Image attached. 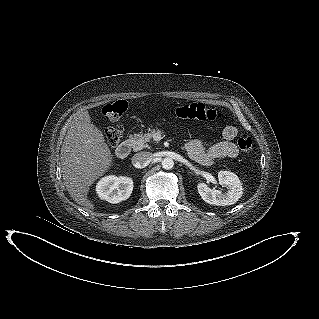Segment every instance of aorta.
<instances>
[{
    "instance_id": "obj_1",
    "label": "aorta",
    "mask_w": 319,
    "mask_h": 319,
    "mask_svg": "<svg viewBox=\"0 0 319 319\" xmlns=\"http://www.w3.org/2000/svg\"><path fill=\"white\" fill-rule=\"evenodd\" d=\"M161 164L165 170H170L174 167V160L170 157H166L162 160Z\"/></svg>"
}]
</instances>
